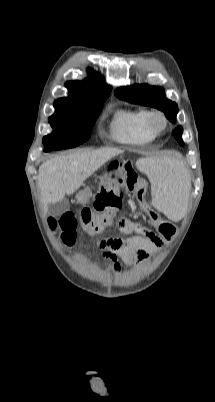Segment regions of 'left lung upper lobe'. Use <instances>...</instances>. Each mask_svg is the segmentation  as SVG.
Returning a JSON list of instances; mask_svg holds the SVG:
<instances>
[{"label": "left lung upper lobe", "mask_w": 215, "mask_h": 402, "mask_svg": "<svg viewBox=\"0 0 215 402\" xmlns=\"http://www.w3.org/2000/svg\"><path fill=\"white\" fill-rule=\"evenodd\" d=\"M115 95L122 100L130 103L140 104L144 106H151L163 111L170 121L175 122L178 113V107L175 102L167 99L163 88L153 87L148 84H135L129 87H120L116 89ZM182 127L178 126L173 131V136L183 145L182 140Z\"/></svg>", "instance_id": "5c2ea615"}]
</instances>
